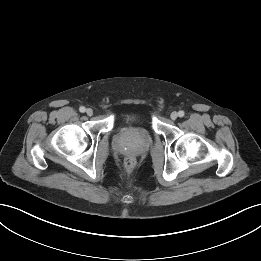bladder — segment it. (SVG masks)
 Here are the masks:
<instances>
[{"mask_svg": "<svg viewBox=\"0 0 261 261\" xmlns=\"http://www.w3.org/2000/svg\"><path fill=\"white\" fill-rule=\"evenodd\" d=\"M136 117H138V115H134V114L128 115V118H136Z\"/></svg>", "mask_w": 261, "mask_h": 261, "instance_id": "1", "label": "bladder"}]
</instances>
